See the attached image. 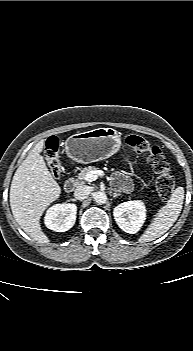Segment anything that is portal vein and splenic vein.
Listing matches in <instances>:
<instances>
[{
    "label": "portal vein and splenic vein",
    "mask_w": 193,
    "mask_h": 351,
    "mask_svg": "<svg viewBox=\"0 0 193 351\" xmlns=\"http://www.w3.org/2000/svg\"><path fill=\"white\" fill-rule=\"evenodd\" d=\"M103 175H104V172L102 170L90 171L89 173L86 174L85 180L88 182H93L98 178V176H103Z\"/></svg>",
    "instance_id": "portal-vein-and-splenic-vein-1"
}]
</instances>
